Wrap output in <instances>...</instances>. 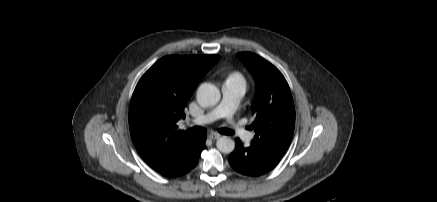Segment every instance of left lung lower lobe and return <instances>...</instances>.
Returning a JSON list of instances; mask_svg holds the SVG:
<instances>
[{"instance_id": "1", "label": "left lung lower lobe", "mask_w": 437, "mask_h": 202, "mask_svg": "<svg viewBox=\"0 0 437 202\" xmlns=\"http://www.w3.org/2000/svg\"><path fill=\"white\" fill-rule=\"evenodd\" d=\"M235 142L236 148L229 156V163L236 172L257 177L276 167V164L267 160L252 147H244L238 138Z\"/></svg>"}]
</instances>
